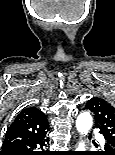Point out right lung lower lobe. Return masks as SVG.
<instances>
[{"instance_id": "1", "label": "right lung lower lobe", "mask_w": 115, "mask_h": 155, "mask_svg": "<svg viewBox=\"0 0 115 155\" xmlns=\"http://www.w3.org/2000/svg\"><path fill=\"white\" fill-rule=\"evenodd\" d=\"M49 142L46 135L34 139L10 145L0 151V155H50L45 150L46 143Z\"/></svg>"}]
</instances>
